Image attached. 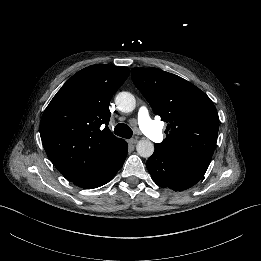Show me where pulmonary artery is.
Instances as JSON below:
<instances>
[{"instance_id": "1", "label": "pulmonary artery", "mask_w": 261, "mask_h": 261, "mask_svg": "<svg viewBox=\"0 0 261 261\" xmlns=\"http://www.w3.org/2000/svg\"><path fill=\"white\" fill-rule=\"evenodd\" d=\"M138 123L143 133L148 134L153 142H160L162 140V133L155 121H150L149 112L147 108L142 107L138 113Z\"/></svg>"}]
</instances>
